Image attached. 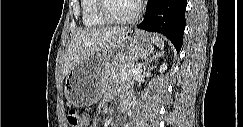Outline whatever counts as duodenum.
Wrapping results in <instances>:
<instances>
[{"label": "duodenum", "mask_w": 243, "mask_h": 127, "mask_svg": "<svg viewBox=\"0 0 243 127\" xmlns=\"http://www.w3.org/2000/svg\"><path fill=\"white\" fill-rule=\"evenodd\" d=\"M129 100H130L129 95H125V96L123 97V101H122L123 105H127L128 102H129Z\"/></svg>", "instance_id": "1"}]
</instances>
